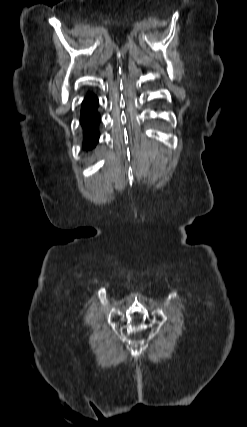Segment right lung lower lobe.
<instances>
[{"instance_id":"right-lung-lower-lobe-1","label":"right lung lower lobe","mask_w":247,"mask_h":427,"mask_svg":"<svg viewBox=\"0 0 247 427\" xmlns=\"http://www.w3.org/2000/svg\"><path fill=\"white\" fill-rule=\"evenodd\" d=\"M98 99L94 94H87L82 103L80 122L83 130V150L93 149L99 139L100 115L97 112Z\"/></svg>"}]
</instances>
